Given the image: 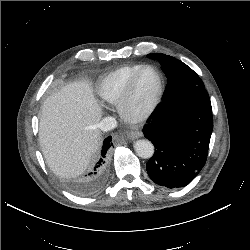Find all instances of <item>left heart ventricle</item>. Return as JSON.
I'll return each mask as SVG.
<instances>
[{"mask_svg":"<svg viewBox=\"0 0 250 250\" xmlns=\"http://www.w3.org/2000/svg\"><path fill=\"white\" fill-rule=\"evenodd\" d=\"M158 86L156 74L151 71H145L137 82L130 109L134 113L142 112L152 100Z\"/></svg>","mask_w":250,"mask_h":250,"instance_id":"b2bd125f","label":"left heart ventricle"}]
</instances>
